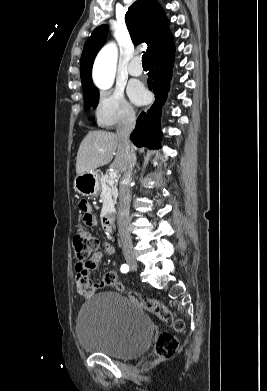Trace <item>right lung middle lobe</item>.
<instances>
[{
    "instance_id": "right-lung-middle-lobe-1",
    "label": "right lung middle lobe",
    "mask_w": 267,
    "mask_h": 391,
    "mask_svg": "<svg viewBox=\"0 0 267 391\" xmlns=\"http://www.w3.org/2000/svg\"><path fill=\"white\" fill-rule=\"evenodd\" d=\"M85 110L96 107L99 101V91L97 88L84 92Z\"/></svg>"
}]
</instances>
